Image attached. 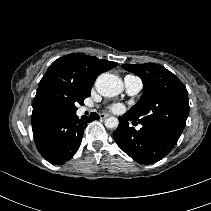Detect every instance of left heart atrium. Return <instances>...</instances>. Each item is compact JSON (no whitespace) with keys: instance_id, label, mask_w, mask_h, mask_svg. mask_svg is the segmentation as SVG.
<instances>
[{"instance_id":"left-heart-atrium-1","label":"left heart atrium","mask_w":211,"mask_h":211,"mask_svg":"<svg viewBox=\"0 0 211 211\" xmlns=\"http://www.w3.org/2000/svg\"><path fill=\"white\" fill-rule=\"evenodd\" d=\"M111 109L115 112L121 111L123 109V107L119 104H115L111 107Z\"/></svg>"}]
</instances>
